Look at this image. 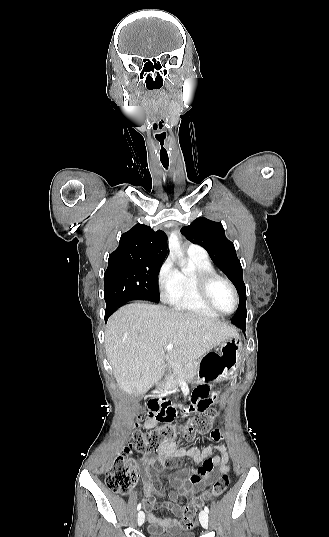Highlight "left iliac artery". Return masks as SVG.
Segmentation results:
<instances>
[{"label":"left iliac artery","instance_id":"obj_1","mask_svg":"<svg viewBox=\"0 0 329 537\" xmlns=\"http://www.w3.org/2000/svg\"><path fill=\"white\" fill-rule=\"evenodd\" d=\"M205 512L209 513V508L207 506L204 507Z\"/></svg>","mask_w":329,"mask_h":537}]
</instances>
